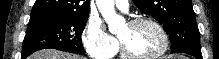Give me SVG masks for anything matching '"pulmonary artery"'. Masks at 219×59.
Returning <instances> with one entry per match:
<instances>
[{"mask_svg": "<svg viewBox=\"0 0 219 59\" xmlns=\"http://www.w3.org/2000/svg\"><path fill=\"white\" fill-rule=\"evenodd\" d=\"M115 5L121 11L127 12L129 9V2L126 0H117L115 1Z\"/></svg>", "mask_w": 219, "mask_h": 59, "instance_id": "obj_1", "label": "pulmonary artery"}]
</instances>
